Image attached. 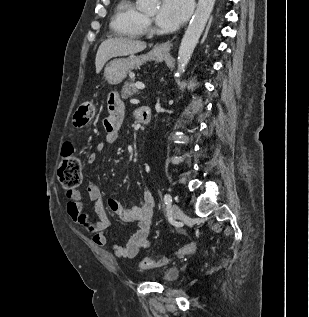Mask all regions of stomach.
I'll list each match as a JSON object with an SVG mask.
<instances>
[{"mask_svg":"<svg viewBox=\"0 0 309 317\" xmlns=\"http://www.w3.org/2000/svg\"><path fill=\"white\" fill-rule=\"evenodd\" d=\"M166 56V53L154 48L146 55L136 56L134 54L127 58H118L110 61L104 70L105 80L111 85H117L121 83L127 74L148 60H154L161 62Z\"/></svg>","mask_w":309,"mask_h":317,"instance_id":"1","label":"stomach"}]
</instances>
